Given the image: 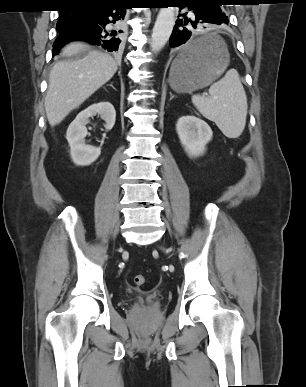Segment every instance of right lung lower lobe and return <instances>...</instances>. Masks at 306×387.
I'll list each match as a JSON object with an SVG mask.
<instances>
[{
	"instance_id": "1",
	"label": "right lung lower lobe",
	"mask_w": 306,
	"mask_h": 387,
	"mask_svg": "<svg viewBox=\"0 0 306 387\" xmlns=\"http://www.w3.org/2000/svg\"><path fill=\"white\" fill-rule=\"evenodd\" d=\"M81 22L59 30L53 45V55L69 41L83 40L93 45L104 47L109 52L118 51L121 47L119 23L126 14V5L114 1L103 6L84 7Z\"/></svg>"
}]
</instances>
